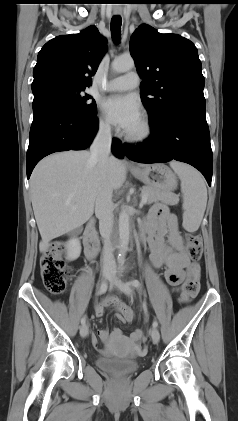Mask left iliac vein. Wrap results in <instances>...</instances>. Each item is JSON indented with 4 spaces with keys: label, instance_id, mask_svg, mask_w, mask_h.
<instances>
[{
    "label": "left iliac vein",
    "instance_id": "4c4485c4",
    "mask_svg": "<svg viewBox=\"0 0 238 421\" xmlns=\"http://www.w3.org/2000/svg\"><path fill=\"white\" fill-rule=\"evenodd\" d=\"M108 280L112 285L117 286L121 291H123L126 295L130 296L132 294L131 286L129 283L123 282L120 280L116 273L115 268L112 267L109 274ZM151 338L154 344H157L160 340V333L156 327H153L151 330Z\"/></svg>",
    "mask_w": 238,
    "mask_h": 421
}]
</instances>
